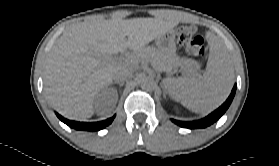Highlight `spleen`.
Masks as SVG:
<instances>
[{"label":"spleen","mask_w":279,"mask_h":166,"mask_svg":"<svg viewBox=\"0 0 279 166\" xmlns=\"http://www.w3.org/2000/svg\"><path fill=\"white\" fill-rule=\"evenodd\" d=\"M209 45L210 56L202 75L163 80L171 97L193 112L204 113L222 104L233 83L232 65L223 43L210 36Z\"/></svg>","instance_id":"obj_1"}]
</instances>
